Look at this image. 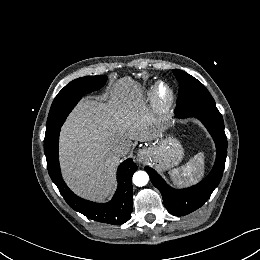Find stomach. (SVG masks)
<instances>
[{
    "mask_svg": "<svg viewBox=\"0 0 260 260\" xmlns=\"http://www.w3.org/2000/svg\"><path fill=\"white\" fill-rule=\"evenodd\" d=\"M154 165L160 170H167L177 166L184 157V149L180 142L173 138H160L150 147Z\"/></svg>",
    "mask_w": 260,
    "mask_h": 260,
    "instance_id": "0dacf381",
    "label": "stomach"
}]
</instances>
